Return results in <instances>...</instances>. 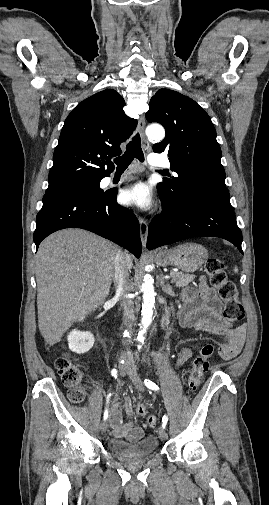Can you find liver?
Instances as JSON below:
<instances>
[{
	"label": "liver",
	"instance_id": "obj_1",
	"mask_svg": "<svg viewBox=\"0 0 269 505\" xmlns=\"http://www.w3.org/2000/svg\"><path fill=\"white\" fill-rule=\"evenodd\" d=\"M120 248L82 229H64L47 237L35 258L38 326L49 345L58 343L81 315L106 300ZM126 256L129 269L133 257Z\"/></svg>",
	"mask_w": 269,
	"mask_h": 505
}]
</instances>
